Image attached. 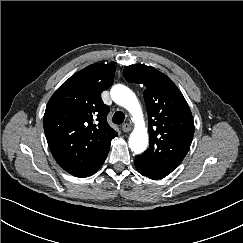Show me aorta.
Returning a JSON list of instances; mask_svg holds the SVG:
<instances>
[{
    "instance_id": "762f6f07",
    "label": "aorta",
    "mask_w": 243,
    "mask_h": 243,
    "mask_svg": "<svg viewBox=\"0 0 243 243\" xmlns=\"http://www.w3.org/2000/svg\"><path fill=\"white\" fill-rule=\"evenodd\" d=\"M110 94L112 100L126 108L135 119V129L130 134L128 141L130 149L136 154L144 152L148 145V133L143 120L142 109L135 93L128 87L117 84L112 87Z\"/></svg>"
}]
</instances>
